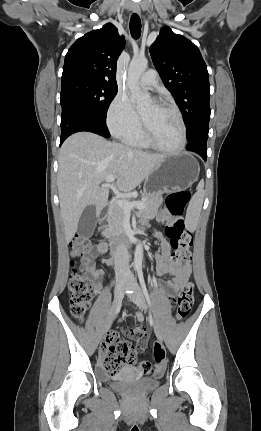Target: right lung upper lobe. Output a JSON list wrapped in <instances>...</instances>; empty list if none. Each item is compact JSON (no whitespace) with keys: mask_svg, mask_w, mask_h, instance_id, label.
Returning <instances> with one entry per match:
<instances>
[{"mask_svg":"<svg viewBox=\"0 0 261 431\" xmlns=\"http://www.w3.org/2000/svg\"><path fill=\"white\" fill-rule=\"evenodd\" d=\"M124 45V37L112 23L85 34L68 50L62 78L83 75L117 86V59Z\"/></svg>","mask_w":261,"mask_h":431,"instance_id":"obj_1","label":"right lung upper lobe"}]
</instances>
